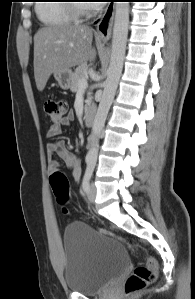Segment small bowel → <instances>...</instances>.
Wrapping results in <instances>:
<instances>
[{"label":"small bowel","mask_w":195,"mask_h":299,"mask_svg":"<svg viewBox=\"0 0 195 299\" xmlns=\"http://www.w3.org/2000/svg\"><path fill=\"white\" fill-rule=\"evenodd\" d=\"M73 117V114L70 113L59 122L52 123L47 130V137L53 138L60 134L63 127H67L71 124ZM47 150L50 154H54L64 161L67 168L71 170L73 180H80L81 165L76 154L67 149L62 142L50 143L47 146ZM49 166L50 168L54 169L58 167V163L54 159H50Z\"/></svg>","instance_id":"obj_1"}]
</instances>
